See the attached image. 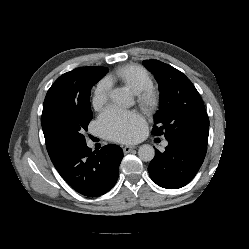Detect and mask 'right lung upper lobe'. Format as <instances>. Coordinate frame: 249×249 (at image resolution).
<instances>
[{
	"label": "right lung upper lobe",
	"mask_w": 249,
	"mask_h": 249,
	"mask_svg": "<svg viewBox=\"0 0 249 249\" xmlns=\"http://www.w3.org/2000/svg\"><path fill=\"white\" fill-rule=\"evenodd\" d=\"M89 67L77 68L70 72L63 74L48 90L42 112V128L46 141V148L50 155H53L58 149L46 132V123L50 115L58 110L66 101L73 98L80 88V85L84 81Z\"/></svg>",
	"instance_id": "right-lung-upper-lobe-1"
}]
</instances>
